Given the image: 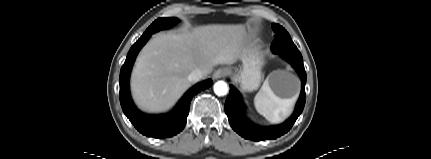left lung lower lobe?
Masks as SVG:
<instances>
[{
  "mask_svg": "<svg viewBox=\"0 0 431 159\" xmlns=\"http://www.w3.org/2000/svg\"><path fill=\"white\" fill-rule=\"evenodd\" d=\"M284 57L298 72L301 79V94L292 116L283 124L271 127H259L251 123L245 117V107L240 93L230 85V93L225 102V112L227 114L231 127L245 139L253 141H263L267 139H276L287 133L296 119L302 113L305 105V84L306 72L304 69L303 58L300 53H278Z\"/></svg>",
  "mask_w": 431,
  "mask_h": 159,
  "instance_id": "left-lung-lower-lobe-1",
  "label": "left lung lower lobe"
}]
</instances>
